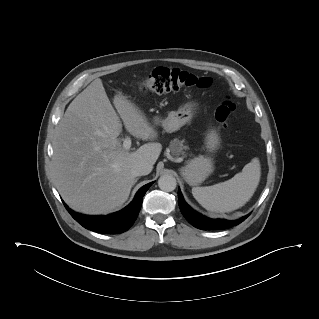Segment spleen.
<instances>
[{"label":"spleen","mask_w":319,"mask_h":319,"mask_svg":"<svg viewBox=\"0 0 319 319\" xmlns=\"http://www.w3.org/2000/svg\"><path fill=\"white\" fill-rule=\"evenodd\" d=\"M260 176V162L258 158H254L231 179L212 186L193 187L192 194L208 211L231 212L251 199L259 184Z\"/></svg>","instance_id":"1"}]
</instances>
